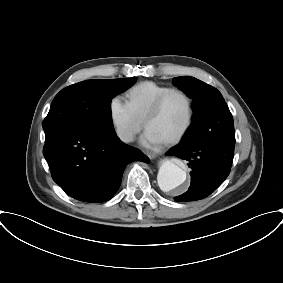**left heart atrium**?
Returning <instances> with one entry per match:
<instances>
[{"mask_svg": "<svg viewBox=\"0 0 283 283\" xmlns=\"http://www.w3.org/2000/svg\"><path fill=\"white\" fill-rule=\"evenodd\" d=\"M141 141H142V144L145 146L158 145L164 142L160 137H158L157 135H155L153 132L149 130H146Z\"/></svg>", "mask_w": 283, "mask_h": 283, "instance_id": "1", "label": "left heart atrium"}]
</instances>
